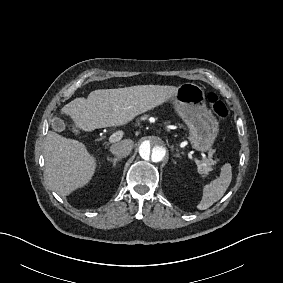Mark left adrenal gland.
Here are the masks:
<instances>
[{
  "mask_svg": "<svg viewBox=\"0 0 283 283\" xmlns=\"http://www.w3.org/2000/svg\"><path fill=\"white\" fill-rule=\"evenodd\" d=\"M180 156V154L178 153L175 157H179Z\"/></svg>",
  "mask_w": 283,
  "mask_h": 283,
  "instance_id": "left-adrenal-gland-1",
  "label": "left adrenal gland"
}]
</instances>
